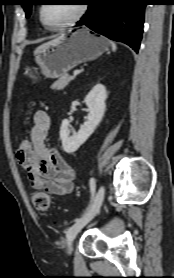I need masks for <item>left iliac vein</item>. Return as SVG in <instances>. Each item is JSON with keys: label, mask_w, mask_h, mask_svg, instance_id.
<instances>
[{"label": "left iliac vein", "mask_w": 174, "mask_h": 278, "mask_svg": "<svg viewBox=\"0 0 174 278\" xmlns=\"http://www.w3.org/2000/svg\"><path fill=\"white\" fill-rule=\"evenodd\" d=\"M105 188L100 186L93 200L92 205L88 211L78 219L67 231L66 242L68 246V253L72 252V244L77 234L85 227L99 212L104 200Z\"/></svg>", "instance_id": "obj_1"}]
</instances>
